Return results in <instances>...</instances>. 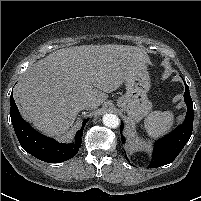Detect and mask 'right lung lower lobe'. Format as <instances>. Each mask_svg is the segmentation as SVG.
Masks as SVG:
<instances>
[{
	"instance_id": "right-lung-lower-lobe-1",
	"label": "right lung lower lobe",
	"mask_w": 201,
	"mask_h": 201,
	"mask_svg": "<svg viewBox=\"0 0 201 201\" xmlns=\"http://www.w3.org/2000/svg\"><path fill=\"white\" fill-rule=\"evenodd\" d=\"M10 98V116L12 125L20 145L26 152L47 163L64 162L78 153L81 146L83 129L89 119L83 121L82 128L76 133L74 142L68 144L59 143L56 140L37 132L25 122L20 116L12 94Z\"/></svg>"
}]
</instances>
